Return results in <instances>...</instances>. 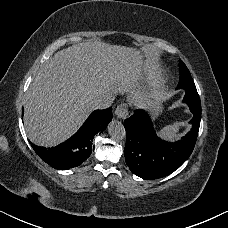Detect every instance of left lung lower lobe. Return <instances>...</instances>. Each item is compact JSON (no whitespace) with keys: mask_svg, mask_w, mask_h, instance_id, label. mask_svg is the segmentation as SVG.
<instances>
[{"mask_svg":"<svg viewBox=\"0 0 228 228\" xmlns=\"http://www.w3.org/2000/svg\"><path fill=\"white\" fill-rule=\"evenodd\" d=\"M186 93L185 103L193 113L192 129L177 142L161 140L144 110H136L124 121L127 135L125 160L135 175L148 180L165 177L178 169L191 155L200 126L201 103L198 93Z\"/></svg>","mask_w":228,"mask_h":228,"instance_id":"left-lung-lower-lobe-1","label":"left lung lower lobe"}]
</instances>
